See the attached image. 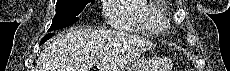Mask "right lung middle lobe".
I'll use <instances>...</instances> for the list:
<instances>
[{
  "mask_svg": "<svg viewBox=\"0 0 230 71\" xmlns=\"http://www.w3.org/2000/svg\"><path fill=\"white\" fill-rule=\"evenodd\" d=\"M95 0H57L56 15L53 18L50 30H57L75 23L86 4Z\"/></svg>",
  "mask_w": 230,
  "mask_h": 71,
  "instance_id": "1",
  "label": "right lung middle lobe"
}]
</instances>
